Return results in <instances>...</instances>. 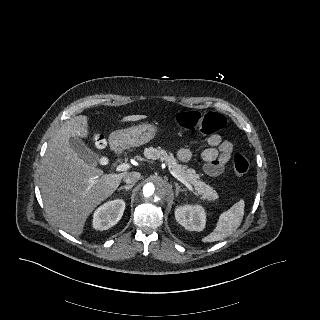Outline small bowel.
<instances>
[{"label":"small bowel","mask_w":320,"mask_h":320,"mask_svg":"<svg viewBox=\"0 0 320 320\" xmlns=\"http://www.w3.org/2000/svg\"><path fill=\"white\" fill-rule=\"evenodd\" d=\"M206 142L208 147L201 153L204 171L211 177L220 176L234 153V144L229 140H223L219 134L210 135ZM192 156V150L189 148L178 151V159L181 162H189Z\"/></svg>","instance_id":"obj_1"}]
</instances>
